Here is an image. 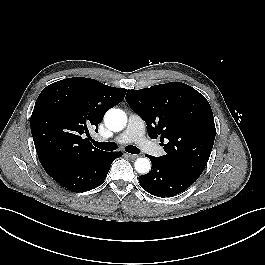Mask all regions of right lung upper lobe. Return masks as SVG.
I'll use <instances>...</instances> for the list:
<instances>
[{
  "mask_svg": "<svg viewBox=\"0 0 265 265\" xmlns=\"http://www.w3.org/2000/svg\"><path fill=\"white\" fill-rule=\"evenodd\" d=\"M126 91L84 77L63 79L44 88L30 126L45 171L103 153L84 136L90 137L89 128H97L105 112L119 104Z\"/></svg>",
  "mask_w": 265,
  "mask_h": 265,
  "instance_id": "obj_1",
  "label": "right lung upper lobe"
}]
</instances>
